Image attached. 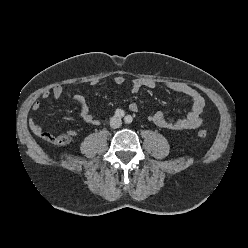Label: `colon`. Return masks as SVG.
Returning <instances> with one entry per match:
<instances>
[{
	"mask_svg": "<svg viewBox=\"0 0 248 248\" xmlns=\"http://www.w3.org/2000/svg\"><path fill=\"white\" fill-rule=\"evenodd\" d=\"M198 136L200 138H206L207 132L205 130H199ZM46 140L55 145H64L68 142V137L66 135H47Z\"/></svg>",
	"mask_w": 248,
	"mask_h": 248,
	"instance_id": "obj_1",
	"label": "colon"
}]
</instances>
